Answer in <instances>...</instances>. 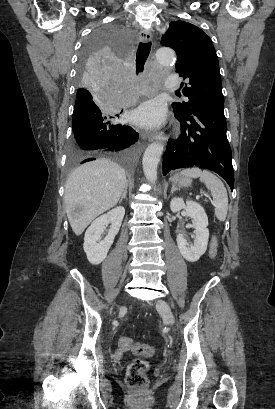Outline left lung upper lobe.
I'll list each match as a JSON object with an SVG mask.
<instances>
[{
	"label": "left lung upper lobe",
	"mask_w": 275,
	"mask_h": 409,
	"mask_svg": "<svg viewBox=\"0 0 275 409\" xmlns=\"http://www.w3.org/2000/svg\"><path fill=\"white\" fill-rule=\"evenodd\" d=\"M161 45L176 51V72L189 85L183 89L189 101L172 103L174 114L186 117L199 109L224 112L219 62L210 38L193 24L173 21Z\"/></svg>",
	"instance_id": "1"
}]
</instances>
